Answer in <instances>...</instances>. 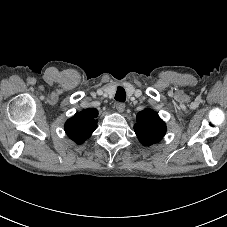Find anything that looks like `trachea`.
Returning a JSON list of instances; mask_svg holds the SVG:
<instances>
[{
  "label": "trachea",
  "mask_w": 227,
  "mask_h": 227,
  "mask_svg": "<svg viewBox=\"0 0 227 227\" xmlns=\"http://www.w3.org/2000/svg\"><path fill=\"white\" fill-rule=\"evenodd\" d=\"M115 100L119 102H124L126 100V92L123 87H118L116 94H115Z\"/></svg>",
  "instance_id": "1"
}]
</instances>
